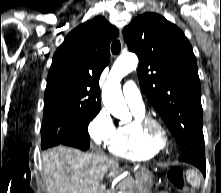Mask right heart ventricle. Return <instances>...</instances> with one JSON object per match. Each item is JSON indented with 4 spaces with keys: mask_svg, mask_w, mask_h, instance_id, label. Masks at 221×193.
<instances>
[{
    "mask_svg": "<svg viewBox=\"0 0 221 193\" xmlns=\"http://www.w3.org/2000/svg\"><path fill=\"white\" fill-rule=\"evenodd\" d=\"M134 120L120 124L115 136L108 145L111 154L127 159L152 157L160 153V148L153 144L139 129V122L145 116L144 111L133 110Z\"/></svg>",
    "mask_w": 221,
    "mask_h": 193,
    "instance_id": "obj_1",
    "label": "right heart ventricle"
}]
</instances>
